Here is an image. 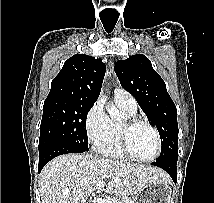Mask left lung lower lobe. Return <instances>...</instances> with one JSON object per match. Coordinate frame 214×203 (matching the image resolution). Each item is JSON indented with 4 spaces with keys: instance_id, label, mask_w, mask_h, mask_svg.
Segmentation results:
<instances>
[{
    "instance_id": "1",
    "label": "left lung lower lobe",
    "mask_w": 214,
    "mask_h": 203,
    "mask_svg": "<svg viewBox=\"0 0 214 203\" xmlns=\"http://www.w3.org/2000/svg\"><path fill=\"white\" fill-rule=\"evenodd\" d=\"M151 165L162 168L169 173L175 183L177 182V159L156 160Z\"/></svg>"
}]
</instances>
